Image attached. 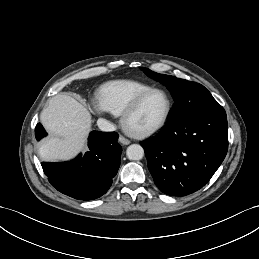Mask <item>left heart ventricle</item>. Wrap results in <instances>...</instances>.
I'll list each match as a JSON object with an SVG mask.
<instances>
[{
	"label": "left heart ventricle",
	"mask_w": 259,
	"mask_h": 259,
	"mask_svg": "<svg viewBox=\"0 0 259 259\" xmlns=\"http://www.w3.org/2000/svg\"><path fill=\"white\" fill-rule=\"evenodd\" d=\"M166 107V97L162 93H153L142 102L137 111L129 118L128 125L134 130L151 128L161 121Z\"/></svg>",
	"instance_id": "left-heart-ventricle-1"
}]
</instances>
